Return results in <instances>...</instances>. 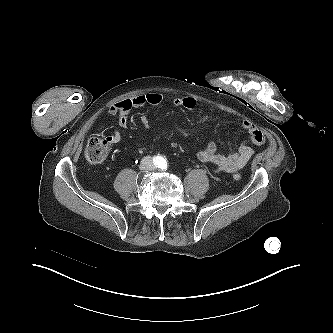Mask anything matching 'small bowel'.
<instances>
[{
  "mask_svg": "<svg viewBox=\"0 0 333 333\" xmlns=\"http://www.w3.org/2000/svg\"><path fill=\"white\" fill-rule=\"evenodd\" d=\"M163 101V96L159 92H150L126 98L114 103L109 108V115L118 117V123L122 128L128 127V116L133 108L143 107L145 105H160ZM175 107H183L188 110H193L197 106V100L192 96H181L172 100ZM141 125L144 130L150 129L149 119L143 115L140 119ZM243 130L249 135V140L240 144L238 149L230 155H222L218 153V148L215 142H209L204 148L197 152V158L203 162L211 165L213 171L216 173L226 172L234 173L243 169L249 160L252 158L254 151L249 145V142L254 145H264L266 138L258 127L249 120H244L241 124ZM114 142L119 141L120 134L114 131L112 136Z\"/></svg>",
  "mask_w": 333,
  "mask_h": 333,
  "instance_id": "c3829d8e",
  "label": "small bowel"
}]
</instances>
